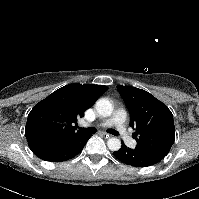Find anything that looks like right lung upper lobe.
Listing matches in <instances>:
<instances>
[{
  "mask_svg": "<svg viewBox=\"0 0 199 199\" xmlns=\"http://www.w3.org/2000/svg\"><path fill=\"white\" fill-rule=\"evenodd\" d=\"M107 90L103 85L69 84L40 101L25 126L29 147L60 143L82 134L76 131L78 119Z\"/></svg>",
  "mask_w": 199,
  "mask_h": 199,
  "instance_id": "cb5924a9",
  "label": "right lung upper lobe"
}]
</instances>
